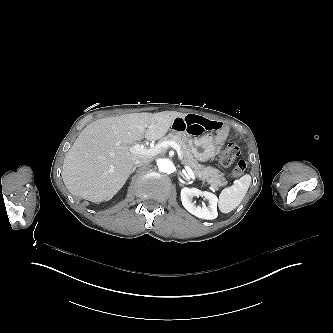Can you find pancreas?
Masks as SVG:
<instances>
[{
	"mask_svg": "<svg viewBox=\"0 0 333 333\" xmlns=\"http://www.w3.org/2000/svg\"><path fill=\"white\" fill-rule=\"evenodd\" d=\"M169 141H174L178 145H180L184 157L182 163L185 165H189L193 169V172L198 180L206 182L213 189H218L219 187L227 185L228 182L226 180V175L223 172L212 166H205L199 164V162L191 153V140H187L184 135L179 133H169L168 135L163 137L159 141V143Z\"/></svg>",
	"mask_w": 333,
	"mask_h": 333,
	"instance_id": "obj_1",
	"label": "pancreas"
}]
</instances>
